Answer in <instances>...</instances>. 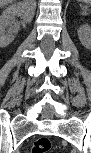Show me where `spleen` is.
Here are the masks:
<instances>
[{
	"label": "spleen",
	"instance_id": "spleen-1",
	"mask_svg": "<svg viewBox=\"0 0 91 153\" xmlns=\"http://www.w3.org/2000/svg\"><path fill=\"white\" fill-rule=\"evenodd\" d=\"M83 10H84V13H86L87 7L85 6V7L83 8Z\"/></svg>",
	"mask_w": 91,
	"mask_h": 153
}]
</instances>
